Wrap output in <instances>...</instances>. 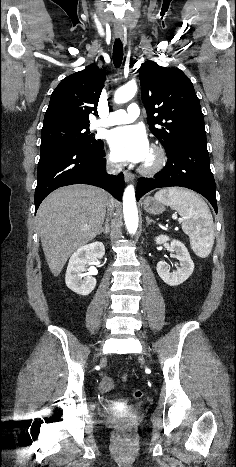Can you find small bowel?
Segmentation results:
<instances>
[{"instance_id": "c3829d8e", "label": "small bowel", "mask_w": 236, "mask_h": 467, "mask_svg": "<svg viewBox=\"0 0 236 467\" xmlns=\"http://www.w3.org/2000/svg\"><path fill=\"white\" fill-rule=\"evenodd\" d=\"M127 378L126 375H123V381H125ZM100 388L101 390L103 391H110L112 390L113 388V382H112V379L110 377H104L102 378L101 380V383H100Z\"/></svg>"}]
</instances>
